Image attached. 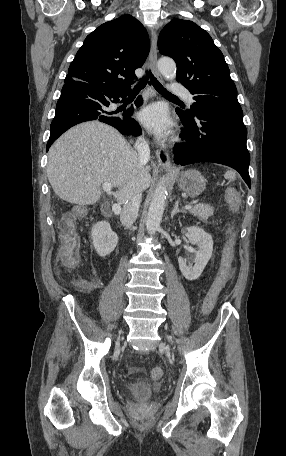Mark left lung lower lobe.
<instances>
[{
	"mask_svg": "<svg viewBox=\"0 0 286 456\" xmlns=\"http://www.w3.org/2000/svg\"><path fill=\"white\" fill-rule=\"evenodd\" d=\"M176 112L184 126L181 137L186 140L174 147L176 164L214 162L227 165L237 170L250 188V155L243 116L215 108L197 109L192 116L178 108Z\"/></svg>",
	"mask_w": 286,
	"mask_h": 456,
	"instance_id": "1",
	"label": "left lung lower lobe"
}]
</instances>
